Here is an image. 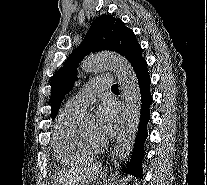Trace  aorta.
<instances>
[{"label": "aorta", "instance_id": "aorta-1", "mask_svg": "<svg viewBox=\"0 0 207 185\" xmlns=\"http://www.w3.org/2000/svg\"><path fill=\"white\" fill-rule=\"evenodd\" d=\"M86 73L104 69L115 71L118 77L122 96V121L116 146L112 154L110 176L106 183L118 185L121 165L133 149L141 113V94L135 71L131 64L121 55L115 53H98L88 56L80 66ZM90 115H81L79 121L87 122Z\"/></svg>", "mask_w": 207, "mask_h": 185}]
</instances>
